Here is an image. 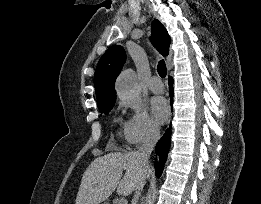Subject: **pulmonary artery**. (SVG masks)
Here are the masks:
<instances>
[{"label":"pulmonary artery","instance_id":"e3ab8cb5","mask_svg":"<svg viewBox=\"0 0 261 204\" xmlns=\"http://www.w3.org/2000/svg\"><path fill=\"white\" fill-rule=\"evenodd\" d=\"M148 87L153 93H162L164 91V85L157 76H153L149 80Z\"/></svg>","mask_w":261,"mask_h":204}]
</instances>
